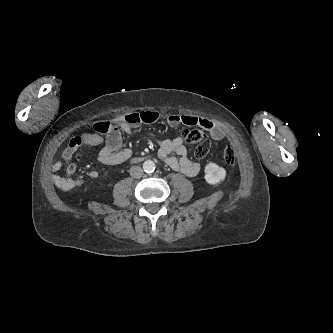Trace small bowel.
<instances>
[{"instance_id": "c3829d8e", "label": "small bowel", "mask_w": 333, "mask_h": 333, "mask_svg": "<svg viewBox=\"0 0 333 333\" xmlns=\"http://www.w3.org/2000/svg\"><path fill=\"white\" fill-rule=\"evenodd\" d=\"M159 118L155 111L131 112L119 117L114 121L115 130L110 134L100 135L98 133H84L73 137L61 154V159L52 165V180L55 185L62 190H69L79 186L81 179L74 178L73 175L77 169L76 164L71 163L74 154L83 146L99 145L104 142L98 154V159L106 165H117L127 161L132 156V151L128 148H122V138L120 130L133 132L141 124L153 123ZM167 122L170 126H199L208 131L213 140L219 141L224 137L223 129L211 120L194 115L172 114L168 116ZM158 145V155L166 164L174 170L180 171L187 176L194 177L199 174L201 167L198 163L188 157V151L184 144L183 137L174 139L160 140L155 138ZM174 153L176 156H171ZM65 163H69L65 169V175L59 176L56 172L60 171ZM91 178L98 177L97 171L90 172Z\"/></svg>"}]
</instances>
